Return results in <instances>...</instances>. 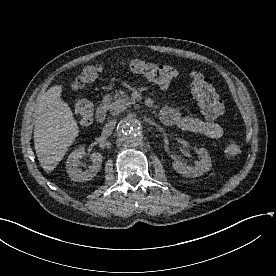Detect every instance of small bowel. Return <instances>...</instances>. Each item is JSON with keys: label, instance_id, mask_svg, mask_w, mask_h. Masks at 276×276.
Instances as JSON below:
<instances>
[{"label": "small bowel", "instance_id": "1", "mask_svg": "<svg viewBox=\"0 0 276 276\" xmlns=\"http://www.w3.org/2000/svg\"><path fill=\"white\" fill-rule=\"evenodd\" d=\"M160 118L166 125L198 133L211 139H219L224 134V128L221 124L200 118L185 116L173 107L163 108L160 111Z\"/></svg>", "mask_w": 276, "mask_h": 276}]
</instances>
